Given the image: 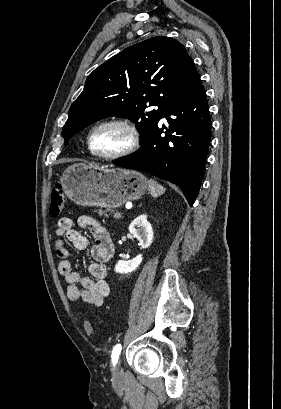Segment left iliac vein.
Wrapping results in <instances>:
<instances>
[{
  "label": "left iliac vein",
  "mask_w": 281,
  "mask_h": 409,
  "mask_svg": "<svg viewBox=\"0 0 281 409\" xmlns=\"http://www.w3.org/2000/svg\"><path fill=\"white\" fill-rule=\"evenodd\" d=\"M119 369H118V367H116L115 368V370H114V372H113V376L115 377V376H118L119 375Z\"/></svg>",
  "instance_id": "left-iliac-vein-1"
}]
</instances>
